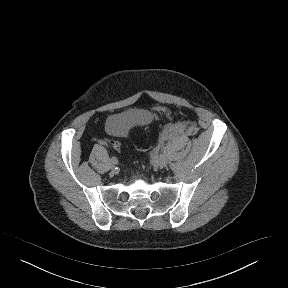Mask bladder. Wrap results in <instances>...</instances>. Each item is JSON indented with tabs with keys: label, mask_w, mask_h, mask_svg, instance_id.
<instances>
[{
	"label": "bladder",
	"mask_w": 288,
	"mask_h": 288,
	"mask_svg": "<svg viewBox=\"0 0 288 288\" xmlns=\"http://www.w3.org/2000/svg\"><path fill=\"white\" fill-rule=\"evenodd\" d=\"M154 114L149 110L132 109L110 118L107 128L114 133H124L135 126H147L152 123Z\"/></svg>",
	"instance_id": "bladder-1"
}]
</instances>
